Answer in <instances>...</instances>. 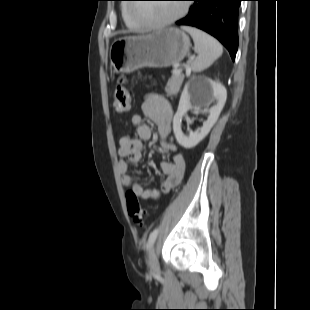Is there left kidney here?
Returning <instances> with one entry per match:
<instances>
[{
  "instance_id": "left-kidney-1",
  "label": "left kidney",
  "mask_w": 310,
  "mask_h": 310,
  "mask_svg": "<svg viewBox=\"0 0 310 310\" xmlns=\"http://www.w3.org/2000/svg\"><path fill=\"white\" fill-rule=\"evenodd\" d=\"M210 96L217 100V104L210 109L207 121L203 123L201 129L195 132L190 131L189 136H185L181 130V121L187 111L192 108V104L190 102L191 97H195L198 103L204 104L206 99ZM226 98L227 91L225 87L220 83L212 81L211 79H203L196 82L192 89H189L188 86L185 87L179 101L177 112L173 118V131L177 142L182 147L190 149L202 141L216 123L224 107Z\"/></svg>"
}]
</instances>
